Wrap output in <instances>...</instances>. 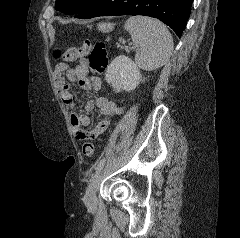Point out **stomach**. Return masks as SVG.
Returning <instances> with one entry per match:
<instances>
[{
	"label": "stomach",
	"instance_id": "0dacf381",
	"mask_svg": "<svg viewBox=\"0 0 240 238\" xmlns=\"http://www.w3.org/2000/svg\"><path fill=\"white\" fill-rule=\"evenodd\" d=\"M98 29L102 32L108 33L113 30V24L111 23H99Z\"/></svg>",
	"mask_w": 240,
	"mask_h": 238
}]
</instances>
